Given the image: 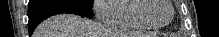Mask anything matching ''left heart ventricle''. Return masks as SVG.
Returning <instances> with one entry per match:
<instances>
[{"mask_svg": "<svg viewBox=\"0 0 219 37\" xmlns=\"http://www.w3.org/2000/svg\"><path fill=\"white\" fill-rule=\"evenodd\" d=\"M151 9L146 13L147 17L156 23H163L169 20L171 8L166 0H150Z\"/></svg>", "mask_w": 219, "mask_h": 37, "instance_id": "b2bd125f", "label": "left heart ventricle"}]
</instances>
